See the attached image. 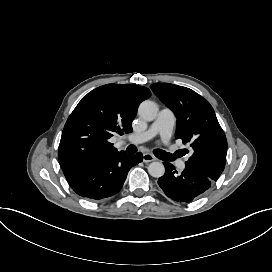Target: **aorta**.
<instances>
[{
  "instance_id": "1",
  "label": "aorta",
  "mask_w": 272,
  "mask_h": 272,
  "mask_svg": "<svg viewBox=\"0 0 272 272\" xmlns=\"http://www.w3.org/2000/svg\"><path fill=\"white\" fill-rule=\"evenodd\" d=\"M158 111L159 108L157 103L151 100L143 101L138 108V114L147 121H153L156 118ZM148 173L152 177L159 178L165 173L164 165L158 161L151 162L148 166Z\"/></svg>"
}]
</instances>
